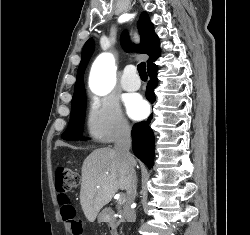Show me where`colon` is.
I'll return each mask as SVG.
<instances>
[{
    "instance_id": "colon-1",
    "label": "colon",
    "mask_w": 250,
    "mask_h": 235,
    "mask_svg": "<svg viewBox=\"0 0 250 235\" xmlns=\"http://www.w3.org/2000/svg\"><path fill=\"white\" fill-rule=\"evenodd\" d=\"M79 183L78 173L67 166H59L55 174V185L59 192L58 201L61 206V214L65 222H67L73 235H83V223L78 217L76 209L73 205L72 198L67 194L69 190L76 187Z\"/></svg>"
}]
</instances>
